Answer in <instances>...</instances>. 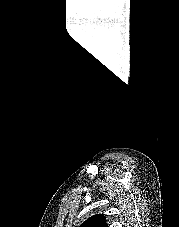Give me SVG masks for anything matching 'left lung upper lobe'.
I'll list each match as a JSON object with an SVG mask.
<instances>
[{
    "label": "left lung upper lobe",
    "instance_id": "5c2ea615",
    "mask_svg": "<svg viewBox=\"0 0 179 227\" xmlns=\"http://www.w3.org/2000/svg\"><path fill=\"white\" fill-rule=\"evenodd\" d=\"M80 227H108L103 215H94L84 221Z\"/></svg>",
    "mask_w": 179,
    "mask_h": 227
}]
</instances>
